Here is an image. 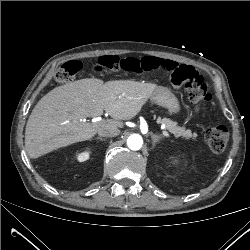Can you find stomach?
Instances as JSON below:
<instances>
[{
	"instance_id": "0dacf381",
	"label": "stomach",
	"mask_w": 250,
	"mask_h": 250,
	"mask_svg": "<svg viewBox=\"0 0 250 250\" xmlns=\"http://www.w3.org/2000/svg\"><path fill=\"white\" fill-rule=\"evenodd\" d=\"M151 100L152 102L166 108L171 114H177L181 110L177 97L165 87H158L153 92Z\"/></svg>"
}]
</instances>
